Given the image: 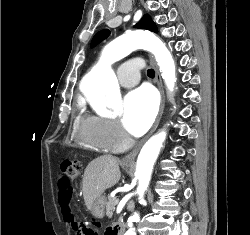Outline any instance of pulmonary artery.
Listing matches in <instances>:
<instances>
[{"label": "pulmonary artery", "mask_w": 250, "mask_h": 235, "mask_svg": "<svg viewBox=\"0 0 250 235\" xmlns=\"http://www.w3.org/2000/svg\"><path fill=\"white\" fill-rule=\"evenodd\" d=\"M143 64L133 58L123 63L119 68V83L125 88L132 87L140 80V70Z\"/></svg>", "instance_id": "obj_1"}]
</instances>
